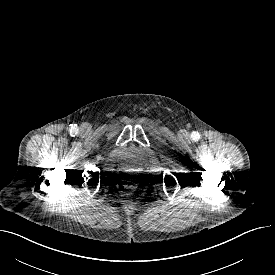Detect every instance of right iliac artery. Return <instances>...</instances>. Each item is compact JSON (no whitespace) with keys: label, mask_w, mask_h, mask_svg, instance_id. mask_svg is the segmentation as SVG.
<instances>
[{"label":"right iliac artery","mask_w":275,"mask_h":275,"mask_svg":"<svg viewBox=\"0 0 275 275\" xmlns=\"http://www.w3.org/2000/svg\"><path fill=\"white\" fill-rule=\"evenodd\" d=\"M70 131H71V133H76V132H77V129H76L75 126H72Z\"/></svg>","instance_id":"1"}]
</instances>
